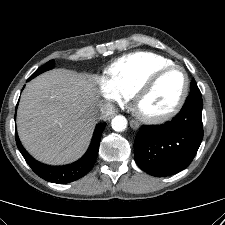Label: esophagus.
Listing matches in <instances>:
<instances>
[{"label":"esophagus","mask_w":225,"mask_h":225,"mask_svg":"<svg viewBox=\"0 0 225 225\" xmlns=\"http://www.w3.org/2000/svg\"><path fill=\"white\" fill-rule=\"evenodd\" d=\"M130 126H131L133 129L137 130V129L139 128V123L136 122L135 120H130Z\"/></svg>","instance_id":"34e87169"}]
</instances>
